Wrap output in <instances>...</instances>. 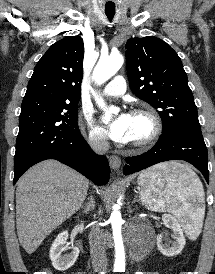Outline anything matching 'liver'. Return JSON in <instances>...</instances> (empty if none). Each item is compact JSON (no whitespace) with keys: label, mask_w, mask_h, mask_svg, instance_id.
<instances>
[{"label":"liver","mask_w":215,"mask_h":274,"mask_svg":"<svg viewBox=\"0 0 215 274\" xmlns=\"http://www.w3.org/2000/svg\"><path fill=\"white\" fill-rule=\"evenodd\" d=\"M89 181L66 165L46 160L31 167L16 189V227L20 244L31 254L82 206Z\"/></svg>","instance_id":"6515ba94"}]
</instances>
